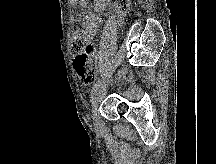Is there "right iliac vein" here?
<instances>
[{"instance_id": "obj_1", "label": "right iliac vein", "mask_w": 216, "mask_h": 164, "mask_svg": "<svg viewBox=\"0 0 216 164\" xmlns=\"http://www.w3.org/2000/svg\"><path fill=\"white\" fill-rule=\"evenodd\" d=\"M103 89H104V85L101 84L98 90L93 95V98H92V117L93 119H95L97 116L98 105L101 99V94L103 92Z\"/></svg>"}]
</instances>
